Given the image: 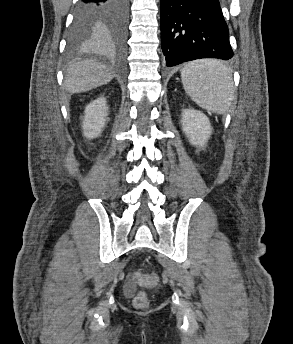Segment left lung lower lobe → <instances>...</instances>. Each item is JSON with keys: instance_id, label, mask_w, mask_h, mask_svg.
<instances>
[{"instance_id": "1", "label": "left lung lower lobe", "mask_w": 293, "mask_h": 344, "mask_svg": "<svg viewBox=\"0 0 293 344\" xmlns=\"http://www.w3.org/2000/svg\"><path fill=\"white\" fill-rule=\"evenodd\" d=\"M161 46L168 67L198 58L231 59L219 0H161Z\"/></svg>"}]
</instances>
